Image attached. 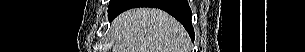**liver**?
Masks as SVG:
<instances>
[{"mask_svg":"<svg viewBox=\"0 0 305 52\" xmlns=\"http://www.w3.org/2000/svg\"><path fill=\"white\" fill-rule=\"evenodd\" d=\"M113 52H189L183 26L166 12L136 8L118 16L113 23Z\"/></svg>","mask_w":305,"mask_h":52,"instance_id":"6515ba94","label":"liver"}]
</instances>
